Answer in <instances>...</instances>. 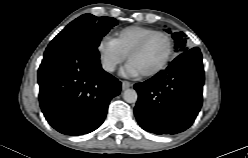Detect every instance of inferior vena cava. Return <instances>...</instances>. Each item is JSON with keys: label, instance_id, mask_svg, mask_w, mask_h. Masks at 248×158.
<instances>
[{"label": "inferior vena cava", "instance_id": "obj_1", "mask_svg": "<svg viewBox=\"0 0 248 158\" xmlns=\"http://www.w3.org/2000/svg\"><path fill=\"white\" fill-rule=\"evenodd\" d=\"M103 69L107 72H113L115 70V64L113 63H104Z\"/></svg>", "mask_w": 248, "mask_h": 158}]
</instances>
